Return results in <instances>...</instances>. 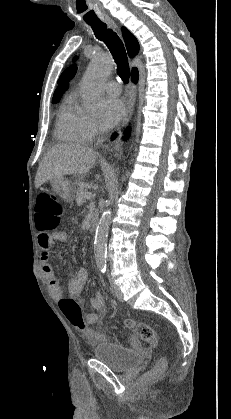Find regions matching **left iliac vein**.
<instances>
[{
	"label": "left iliac vein",
	"mask_w": 231,
	"mask_h": 419,
	"mask_svg": "<svg viewBox=\"0 0 231 419\" xmlns=\"http://www.w3.org/2000/svg\"><path fill=\"white\" fill-rule=\"evenodd\" d=\"M109 282L111 285V289L114 292V294L116 295L117 299L119 301H123V294L121 292V290L118 288V286L114 283V280L109 276Z\"/></svg>",
	"instance_id": "1"
}]
</instances>
